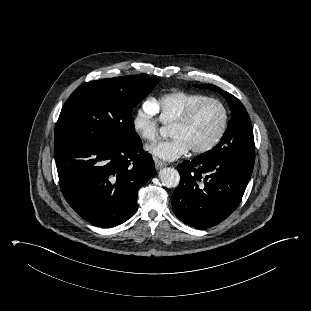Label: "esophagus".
<instances>
[{
	"mask_svg": "<svg viewBox=\"0 0 311 311\" xmlns=\"http://www.w3.org/2000/svg\"><path fill=\"white\" fill-rule=\"evenodd\" d=\"M155 166H156V169L159 170L161 169L162 167H165L167 165V163L163 162V161H160L158 159H155Z\"/></svg>",
	"mask_w": 311,
	"mask_h": 311,
	"instance_id": "1",
	"label": "esophagus"
}]
</instances>
